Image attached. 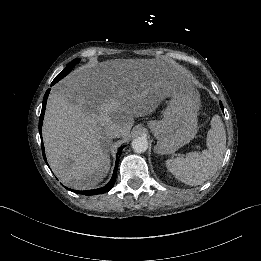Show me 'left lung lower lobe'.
Masks as SVG:
<instances>
[{"mask_svg": "<svg viewBox=\"0 0 261 261\" xmlns=\"http://www.w3.org/2000/svg\"><path fill=\"white\" fill-rule=\"evenodd\" d=\"M220 106H221V108H222V110H223V105H222V103L220 102Z\"/></svg>", "mask_w": 261, "mask_h": 261, "instance_id": "left-lung-lower-lobe-1", "label": "left lung lower lobe"}]
</instances>
